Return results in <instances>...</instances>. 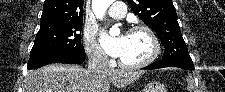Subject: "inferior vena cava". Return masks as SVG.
<instances>
[{"label":"inferior vena cava","instance_id":"obj_1","mask_svg":"<svg viewBox=\"0 0 225 92\" xmlns=\"http://www.w3.org/2000/svg\"><path fill=\"white\" fill-rule=\"evenodd\" d=\"M88 71L92 73H103L107 71V57L98 50L88 52Z\"/></svg>","mask_w":225,"mask_h":92}]
</instances>
